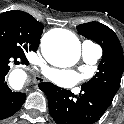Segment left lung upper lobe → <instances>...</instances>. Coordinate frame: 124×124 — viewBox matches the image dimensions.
I'll return each instance as SVG.
<instances>
[{
  "instance_id": "obj_1",
  "label": "left lung upper lobe",
  "mask_w": 124,
  "mask_h": 124,
  "mask_svg": "<svg viewBox=\"0 0 124 124\" xmlns=\"http://www.w3.org/2000/svg\"><path fill=\"white\" fill-rule=\"evenodd\" d=\"M77 30L79 34L97 42L103 48L98 72L81 88L98 92L112 101L120 87L124 70V55L119 39L114 31L99 22L79 25Z\"/></svg>"
}]
</instances>
